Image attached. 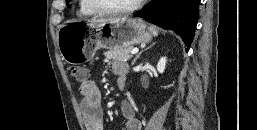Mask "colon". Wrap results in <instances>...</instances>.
<instances>
[{
    "mask_svg": "<svg viewBox=\"0 0 257 130\" xmlns=\"http://www.w3.org/2000/svg\"><path fill=\"white\" fill-rule=\"evenodd\" d=\"M71 76L78 82H84L88 78V71L81 66L71 65L68 67Z\"/></svg>",
    "mask_w": 257,
    "mask_h": 130,
    "instance_id": "5ec220e1",
    "label": "colon"
}]
</instances>
